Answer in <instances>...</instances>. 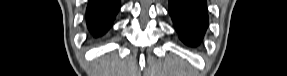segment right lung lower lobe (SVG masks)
<instances>
[{"label": "right lung lower lobe", "mask_w": 287, "mask_h": 76, "mask_svg": "<svg viewBox=\"0 0 287 76\" xmlns=\"http://www.w3.org/2000/svg\"><path fill=\"white\" fill-rule=\"evenodd\" d=\"M120 8V0H90L86 18L87 26L94 36L106 33Z\"/></svg>", "instance_id": "obj_1"}]
</instances>
